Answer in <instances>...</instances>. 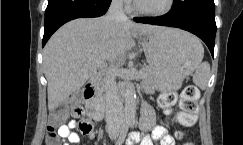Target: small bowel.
<instances>
[{
    "label": "small bowel",
    "instance_id": "obj_1",
    "mask_svg": "<svg viewBox=\"0 0 243 145\" xmlns=\"http://www.w3.org/2000/svg\"><path fill=\"white\" fill-rule=\"evenodd\" d=\"M157 120L154 110L145 105L139 121L140 132H134L130 135V145H152V141L157 140L160 141V145H175L173 137L168 134L165 127L157 124ZM76 126L77 122L71 120L59 127L58 134L62 138V145H72L80 141L79 134L73 131ZM147 132H150V135ZM87 134L90 138L95 136L92 130Z\"/></svg>",
    "mask_w": 243,
    "mask_h": 145
}]
</instances>
